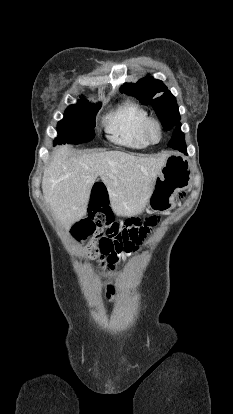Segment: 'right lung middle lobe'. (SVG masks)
<instances>
[{
    "label": "right lung middle lobe",
    "mask_w": 233,
    "mask_h": 414,
    "mask_svg": "<svg viewBox=\"0 0 233 414\" xmlns=\"http://www.w3.org/2000/svg\"><path fill=\"white\" fill-rule=\"evenodd\" d=\"M101 103L93 105L85 100L70 105L64 118L58 122V137L54 144H80L92 140L95 136V115Z\"/></svg>",
    "instance_id": "obj_1"
}]
</instances>
